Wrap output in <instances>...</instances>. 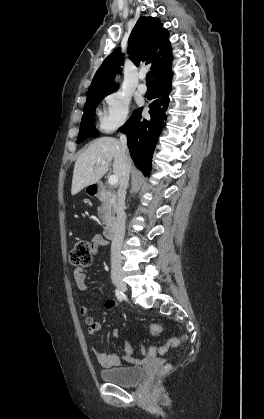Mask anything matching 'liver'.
Returning <instances> with one entry per match:
<instances>
[{"label":"liver","mask_w":264,"mask_h":419,"mask_svg":"<svg viewBox=\"0 0 264 419\" xmlns=\"http://www.w3.org/2000/svg\"><path fill=\"white\" fill-rule=\"evenodd\" d=\"M112 160L113 173L118 176L121 184L123 176L121 143L112 137H101L91 142L75 163L71 194L76 195L83 188L97 183L109 170Z\"/></svg>","instance_id":"6515ba94"}]
</instances>
